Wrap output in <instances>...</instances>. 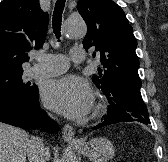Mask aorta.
Listing matches in <instances>:
<instances>
[{"label":"aorta","mask_w":168,"mask_h":162,"mask_svg":"<svg viewBox=\"0 0 168 162\" xmlns=\"http://www.w3.org/2000/svg\"><path fill=\"white\" fill-rule=\"evenodd\" d=\"M86 25L80 18H68L64 23L63 34L69 39L81 38L86 34ZM62 162H78L71 147L66 148Z\"/></svg>","instance_id":"1"}]
</instances>
